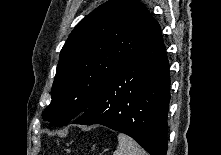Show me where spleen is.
<instances>
[{"instance_id":"3e777b00","label":"spleen","mask_w":221,"mask_h":155,"mask_svg":"<svg viewBox=\"0 0 221 155\" xmlns=\"http://www.w3.org/2000/svg\"><path fill=\"white\" fill-rule=\"evenodd\" d=\"M118 147L113 155H148L131 137L120 133Z\"/></svg>"}]
</instances>
